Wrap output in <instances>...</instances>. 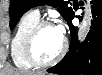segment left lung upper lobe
Returning a JSON list of instances; mask_svg holds the SVG:
<instances>
[{"mask_svg":"<svg viewBox=\"0 0 102 75\" xmlns=\"http://www.w3.org/2000/svg\"><path fill=\"white\" fill-rule=\"evenodd\" d=\"M52 5L53 7H58V12L67 21L73 13L71 6H68L69 1L65 2L63 0H10V29L12 30L20 17L28 11L30 8L39 5Z\"/></svg>","mask_w":102,"mask_h":75,"instance_id":"left-lung-upper-lobe-1","label":"left lung upper lobe"}]
</instances>
